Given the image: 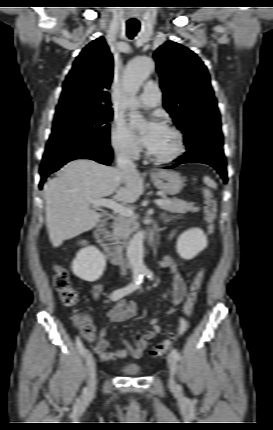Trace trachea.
Listing matches in <instances>:
<instances>
[{
	"mask_svg": "<svg viewBox=\"0 0 273 430\" xmlns=\"http://www.w3.org/2000/svg\"><path fill=\"white\" fill-rule=\"evenodd\" d=\"M140 24L139 23H128L127 24V36L129 39H133L137 32L139 31Z\"/></svg>",
	"mask_w": 273,
	"mask_h": 430,
	"instance_id": "1",
	"label": "trachea"
}]
</instances>
